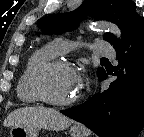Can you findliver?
<instances>
[{
	"mask_svg": "<svg viewBox=\"0 0 144 137\" xmlns=\"http://www.w3.org/2000/svg\"><path fill=\"white\" fill-rule=\"evenodd\" d=\"M73 121L59 111L46 107H22L12 111L4 120L5 127L23 126L47 130H64Z\"/></svg>",
	"mask_w": 144,
	"mask_h": 137,
	"instance_id": "obj_1",
	"label": "liver"
}]
</instances>
